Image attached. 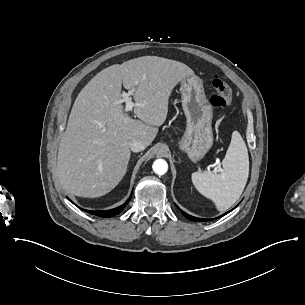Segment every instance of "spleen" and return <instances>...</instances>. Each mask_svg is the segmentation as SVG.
Returning <instances> with one entry per match:
<instances>
[{
	"mask_svg": "<svg viewBox=\"0 0 305 305\" xmlns=\"http://www.w3.org/2000/svg\"><path fill=\"white\" fill-rule=\"evenodd\" d=\"M223 171L194 172L192 182L205 197L225 211L241 196L249 175V157L246 144L238 131L232 133L231 142L222 161Z\"/></svg>",
	"mask_w": 305,
	"mask_h": 305,
	"instance_id": "obj_1",
	"label": "spleen"
}]
</instances>
